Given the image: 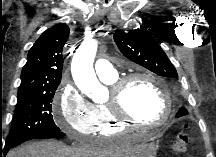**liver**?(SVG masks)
Returning a JSON list of instances; mask_svg holds the SVG:
<instances>
[{"instance_id":"6515ba94","label":"liver","mask_w":216,"mask_h":157,"mask_svg":"<svg viewBox=\"0 0 216 157\" xmlns=\"http://www.w3.org/2000/svg\"><path fill=\"white\" fill-rule=\"evenodd\" d=\"M142 145L133 140L105 148L69 147L59 141L31 142L7 154V157H136Z\"/></svg>"}]
</instances>
